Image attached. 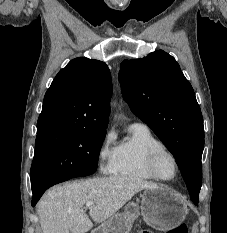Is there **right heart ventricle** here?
Returning <instances> with one entry per match:
<instances>
[{
  "instance_id": "obj_1",
  "label": "right heart ventricle",
  "mask_w": 227,
  "mask_h": 233,
  "mask_svg": "<svg viewBox=\"0 0 227 233\" xmlns=\"http://www.w3.org/2000/svg\"><path fill=\"white\" fill-rule=\"evenodd\" d=\"M163 147L148 127L131 125L128 136L116 146L113 174L141 180L155 179L147 169L149 152Z\"/></svg>"
}]
</instances>
